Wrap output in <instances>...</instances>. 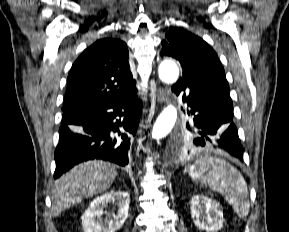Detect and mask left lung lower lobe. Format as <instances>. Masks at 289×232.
<instances>
[{
	"label": "left lung lower lobe",
	"mask_w": 289,
	"mask_h": 232,
	"mask_svg": "<svg viewBox=\"0 0 289 232\" xmlns=\"http://www.w3.org/2000/svg\"><path fill=\"white\" fill-rule=\"evenodd\" d=\"M185 89L189 92L183 95V101L190 107L188 115H194L191 128L188 126L193 133L192 146L203 148L197 151L200 153H218L241 159L242 148L233 122L232 101L206 89L190 87L181 82L173 86L177 95ZM186 151L193 152L192 147Z\"/></svg>",
	"instance_id": "1"
}]
</instances>
